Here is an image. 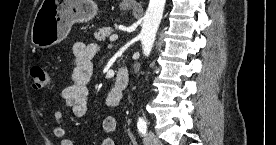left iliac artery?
Segmentation results:
<instances>
[{"instance_id": "left-iliac-artery-1", "label": "left iliac artery", "mask_w": 276, "mask_h": 145, "mask_svg": "<svg viewBox=\"0 0 276 145\" xmlns=\"http://www.w3.org/2000/svg\"><path fill=\"white\" fill-rule=\"evenodd\" d=\"M137 128H138V131L141 134H145L146 133V131H147V122H146V120L144 118L139 117L138 123H137Z\"/></svg>"}]
</instances>
